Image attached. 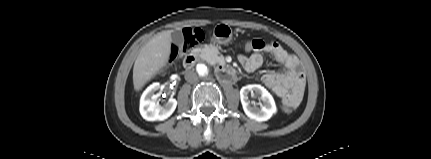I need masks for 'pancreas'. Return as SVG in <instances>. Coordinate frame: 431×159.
Returning a JSON list of instances; mask_svg holds the SVG:
<instances>
[{"instance_id":"obj_1","label":"pancreas","mask_w":431,"mask_h":159,"mask_svg":"<svg viewBox=\"0 0 431 159\" xmlns=\"http://www.w3.org/2000/svg\"><path fill=\"white\" fill-rule=\"evenodd\" d=\"M201 57L211 64H215L222 60V57L219 56V51L217 48L212 46H204L199 49Z\"/></svg>"}]
</instances>
